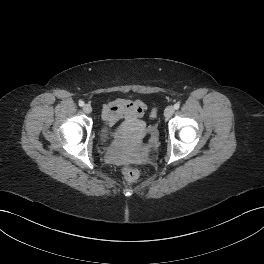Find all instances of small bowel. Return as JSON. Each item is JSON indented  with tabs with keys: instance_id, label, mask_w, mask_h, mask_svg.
<instances>
[{
	"instance_id": "c3829d8e",
	"label": "small bowel",
	"mask_w": 264,
	"mask_h": 264,
	"mask_svg": "<svg viewBox=\"0 0 264 264\" xmlns=\"http://www.w3.org/2000/svg\"><path fill=\"white\" fill-rule=\"evenodd\" d=\"M147 106L141 100L118 98L104 104L102 118L110 126H115L119 121H135L146 112Z\"/></svg>"
}]
</instances>
